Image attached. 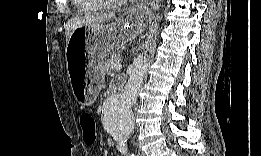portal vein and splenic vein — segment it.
Returning <instances> with one entry per match:
<instances>
[{
  "mask_svg": "<svg viewBox=\"0 0 261 156\" xmlns=\"http://www.w3.org/2000/svg\"><path fill=\"white\" fill-rule=\"evenodd\" d=\"M113 69L115 70V71H120L121 69H122V65L119 63V64H115L114 66H113Z\"/></svg>",
  "mask_w": 261,
  "mask_h": 156,
  "instance_id": "18ae733b",
  "label": "portal vein and splenic vein"
}]
</instances>
